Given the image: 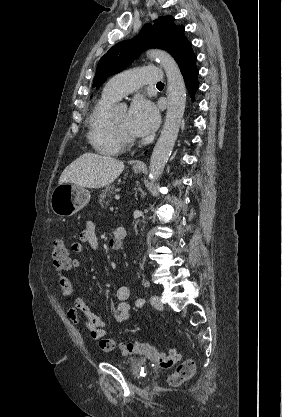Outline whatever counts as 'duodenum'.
Returning a JSON list of instances; mask_svg holds the SVG:
<instances>
[{"mask_svg":"<svg viewBox=\"0 0 282 417\" xmlns=\"http://www.w3.org/2000/svg\"><path fill=\"white\" fill-rule=\"evenodd\" d=\"M125 236H126L125 228L122 227V226L118 227L116 229L115 235H114V239L117 242V245H116L117 248L121 247L122 241L124 240ZM114 246H115V244H114Z\"/></svg>","mask_w":282,"mask_h":417,"instance_id":"1","label":"duodenum"}]
</instances>
